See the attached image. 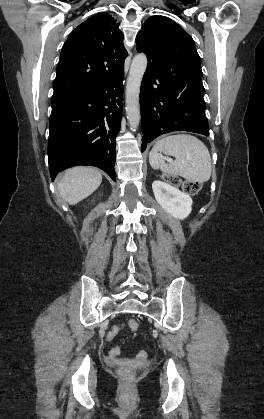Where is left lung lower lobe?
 <instances>
[{
  "mask_svg": "<svg viewBox=\"0 0 264 419\" xmlns=\"http://www.w3.org/2000/svg\"><path fill=\"white\" fill-rule=\"evenodd\" d=\"M202 82L186 84L161 76L148 60L140 89L142 152L147 143L173 131L209 135Z\"/></svg>",
  "mask_w": 264,
  "mask_h": 419,
  "instance_id": "left-lung-lower-lobe-1",
  "label": "left lung lower lobe"
}]
</instances>
